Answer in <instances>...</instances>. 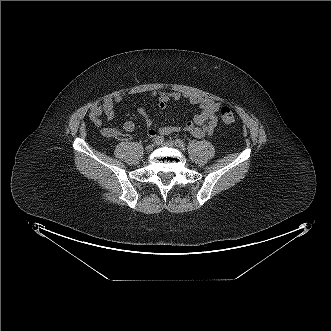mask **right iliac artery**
I'll use <instances>...</instances> for the list:
<instances>
[{
  "label": "right iliac artery",
  "mask_w": 331,
  "mask_h": 331,
  "mask_svg": "<svg viewBox=\"0 0 331 331\" xmlns=\"http://www.w3.org/2000/svg\"><path fill=\"white\" fill-rule=\"evenodd\" d=\"M164 141V137L163 136H157L156 138L153 139V143L155 145H159Z\"/></svg>",
  "instance_id": "82829eb1"
}]
</instances>
